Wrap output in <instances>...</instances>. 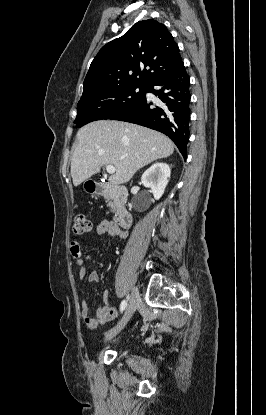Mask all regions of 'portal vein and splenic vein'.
Wrapping results in <instances>:
<instances>
[{
	"instance_id": "portal-vein-and-splenic-vein-1",
	"label": "portal vein and splenic vein",
	"mask_w": 266,
	"mask_h": 415,
	"mask_svg": "<svg viewBox=\"0 0 266 415\" xmlns=\"http://www.w3.org/2000/svg\"><path fill=\"white\" fill-rule=\"evenodd\" d=\"M106 171H107L109 174H114V173H115V167H114L113 165H111V164H107V165H106Z\"/></svg>"
}]
</instances>
